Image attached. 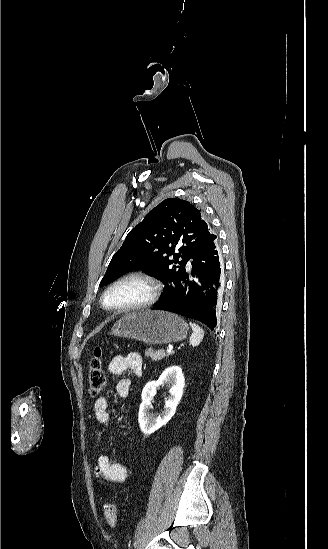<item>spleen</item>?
Masks as SVG:
<instances>
[{
    "mask_svg": "<svg viewBox=\"0 0 328 549\" xmlns=\"http://www.w3.org/2000/svg\"><path fill=\"white\" fill-rule=\"evenodd\" d=\"M190 327L193 333L189 339V343L192 347H198L204 337V331L199 325H195V323H190Z\"/></svg>",
    "mask_w": 328,
    "mask_h": 549,
    "instance_id": "spleen-1",
    "label": "spleen"
}]
</instances>
